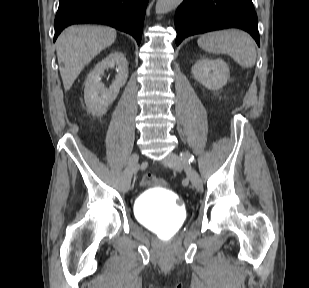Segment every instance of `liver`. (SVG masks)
Instances as JSON below:
<instances>
[{"mask_svg": "<svg viewBox=\"0 0 309 288\" xmlns=\"http://www.w3.org/2000/svg\"><path fill=\"white\" fill-rule=\"evenodd\" d=\"M116 31L103 26H70L56 41V52L65 91L90 61L116 40Z\"/></svg>", "mask_w": 309, "mask_h": 288, "instance_id": "obj_1", "label": "liver"}]
</instances>
